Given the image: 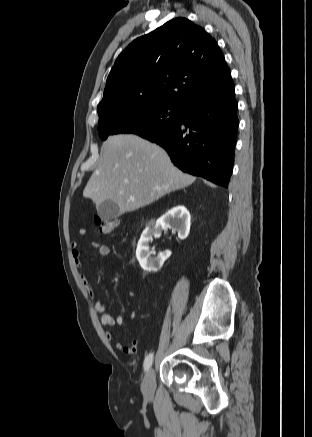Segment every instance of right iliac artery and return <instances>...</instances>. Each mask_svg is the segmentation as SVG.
Here are the masks:
<instances>
[{
  "label": "right iliac artery",
  "mask_w": 312,
  "mask_h": 437,
  "mask_svg": "<svg viewBox=\"0 0 312 437\" xmlns=\"http://www.w3.org/2000/svg\"><path fill=\"white\" fill-rule=\"evenodd\" d=\"M153 362V353H150L149 355L146 356L145 360H144V371H148L149 368L151 367Z\"/></svg>",
  "instance_id": "obj_1"
}]
</instances>
